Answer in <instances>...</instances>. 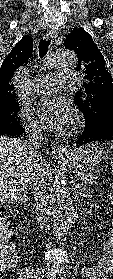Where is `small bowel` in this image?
I'll list each match as a JSON object with an SVG mask.
<instances>
[{
	"instance_id": "small-bowel-1",
	"label": "small bowel",
	"mask_w": 113,
	"mask_h": 279,
	"mask_svg": "<svg viewBox=\"0 0 113 279\" xmlns=\"http://www.w3.org/2000/svg\"><path fill=\"white\" fill-rule=\"evenodd\" d=\"M98 266L113 276V229L110 230L109 238L104 245V252L99 259Z\"/></svg>"
}]
</instances>
